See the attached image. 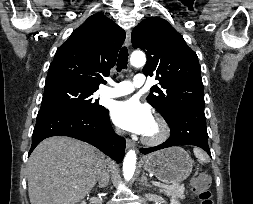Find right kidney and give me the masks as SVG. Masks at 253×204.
Segmentation results:
<instances>
[{
  "instance_id": "obj_1",
  "label": "right kidney",
  "mask_w": 253,
  "mask_h": 204,
  "mask_svg": "<svg viewBox=\"0 0 253 204\" xmlns=\"http://www.w3.org/2000/svg\"><path fill=\"white\" fill-rule=\"evenodd\" d=\"M81 204H86L85 202H82Z\"/></svg>"
}]
</instances>
